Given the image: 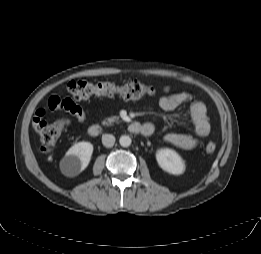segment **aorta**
<instances>
[{
    "label": "aorta",
    "mask_w": 261,
    "mask_h": 254,
    "mask_svg": "<svg viewBox=\"0 0 261 254\" xmlns=\"http://www.w3.org/2000/svg\"><path fill=\"white\" fill-rule=\"evenodd\" d=\"M131 142H132L131 138L127 135H123L119 139V143L123 147H129L131 145Z\"/></svg>",
    "instance_id": "1"
}]
</instances>
